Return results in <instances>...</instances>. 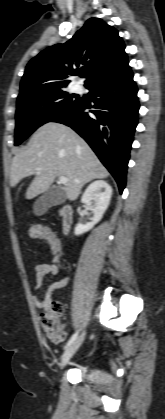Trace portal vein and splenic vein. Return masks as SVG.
<instances>
[{
  "mask_svg": "<svg viewBox=\"0 0 165 419\" xmlns=\"http://www.w3.org/2000/svg\"><path fill=\"white\" fill-rule=\"evenodd\" d=\"M40 169H37L39 171ZM68 182V179L66 177H60L59 178V184H66Z\"/></svg>",
  "mask_w": 165,
  "mask_h": 419,
  "instance_id": "18ae733b",
  "label": "portal vein and splenic vein"
}]
</instances>
